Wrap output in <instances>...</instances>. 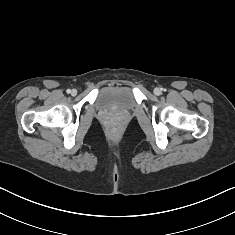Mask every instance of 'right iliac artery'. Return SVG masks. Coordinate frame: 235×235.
Returning a JSON list of instances; mask_svg holds the SVG:
<instances>
[{"label": "right iliac artery", "mask_w": 235, "mask_h": 235, "mask_svg": "<svg viewBox=\"0 0 235 235\" xmlns=\"http://www.w3.org/2000/svg\"><path fill=\"white\" fill-rule=\"evenodd\" d=\"M66 92L69 94V93L71 92V90H70V89H68Z\"/></svg>", "instance_id": "right-iliac-artery-1"}]
</instances>
